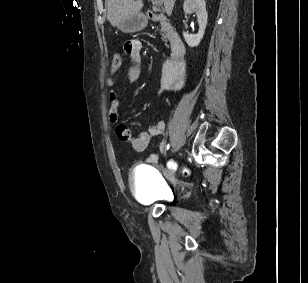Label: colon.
Instances as JSON below:
<instances>
[{
  "mask_svg": "<svg viewBox=\"0 0 308 283\" xmlns=\"http://www.w3.org/2000/svg\"><path fill=\"white\" fill-rule=\"evenodd\" d=\"M121 65H122V58L120 54L115 53L112 58V69L114 71H117L121 67ZM170 166L172 169L177 168V165L175 163H171Z\"/></svg>",
  "mask_w": 308,
  "mask_h": 283,
  "instance_id": "obj_1",
  "label": "colon"
}]
</instances>
